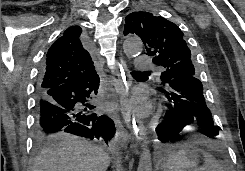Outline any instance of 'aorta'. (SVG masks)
I'll list each match as a JSON object with an SVG mask.
<instances>
[{"instance_id":"aorta-1","label":"aorta","mask_w":245,"mask_h":171,"mask_svg":"<svg viewBox=\"0 0 245 171\" xmlns=\"http://www.w3.org/2000/svg\"><path fill=\"white\" fill-rule=\"evenodd\" d=\"M142 41L139 38H128L123 43L124 53L128 58L137 56L142 51ZM148 141L142 145V152L139 159L137 171H152V160L150 150L147 147Z\"/></svg>"}]
</instances>
